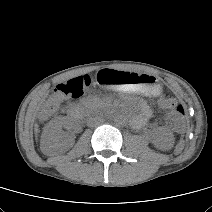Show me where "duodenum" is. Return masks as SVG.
<instances>
[{"mask_svg":"<svg viewBox=\"0 0 212 212\" xmlns=\"http://www.w3.org/2000/svg\"><path fill=\"white\" fill-rule=\"evenodd\" d=\"M69 115L76 120H80L83 116V112L82 109L79 107H73L70 112ZM143 122V118L142 117H136L133 120V123L136 125H140Z\"/></svg>","mask_w":212,"mask_h":212,"instance_id":"duodenum-1","label":"duodenum"}]
</instances>
